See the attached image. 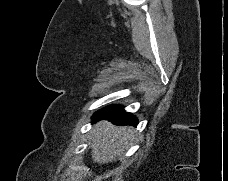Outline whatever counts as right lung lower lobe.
<instances>
[{"instance_id":"1","label":"right lung lower lobe","mask_w":228,"mask_h":181,"mask_svg":"<svg viewBox=\"0 0 228 181\" xmlns=\"http://www.w3.org/2000/svg\"><path fill=\"white\" fill-rule=\"evenodd\" d=\"M92 118L93 121L107 119L116 125L129 124L136 126L138 123L137 118L134 115L126 112L123 109V106L120 105L107 106L97 111Z\"/></svg>"}]
</instances>
